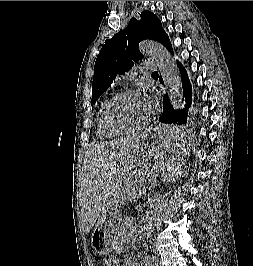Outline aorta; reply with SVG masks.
Masks as SVG:
<instances>
[{
    "label": "aorta",
    "mask_w": 253,
    "mask_h": 266,
    "mask_svg": "<svg viewBox=\"0 0 253 266\" xmlns=\"http://www.w3.org/2000/svg\"><path fill=\"white\" fill-rule=\"evenodd\" d=\"M139 50L157 61L163 82L169 88L170 103L174 109L180 108L183 98L181 81L170 53L162 44L152 41L140 43Z\"/></svg>",
    "instance_id": "aorta-1"
}]
</instances>
